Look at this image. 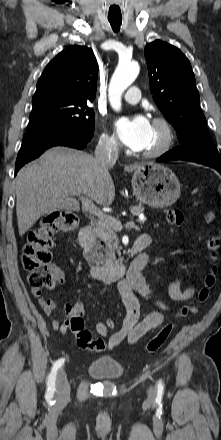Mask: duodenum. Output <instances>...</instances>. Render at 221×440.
Here are the masks:
<instances>
[{
  "instance_id": "410a0bca",
  "label": "duodenum",
  "mask_w": 221,
  "mask_h": 440,
  "mask_svg": "<svg viewBox=\"0 0 221 440\" xmlns=\"http://www.w3.org/2000/svg\"><path fill=\"white\" fill-rule=\"evenodd\" d=\"M92 234L91 225H85L79 231V239L81 242L85 243L88 241ZM146 247V243L142 240H137L134 245L129 250V255L131 257L137 255ZM98 262V258H95ZM148 263L147 258H143L137 261L135 264L132 263L131 267L134 265L137 272H141ZM126 271V265L123 261H116L107 264H96L91 267V276L97 280L103 281H115L120 279Z\"/></svg>"
}]
</instances>
